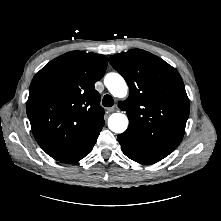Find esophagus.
Wrapping results in <instances>:
<instances>
[{
    "label": "esophagus",
    "instance_id": "obj_1",
    "mask_svg": "<svg viewBox=\"0 0 221 221\" xmlns=\"http://www.w3.org/2000/svg\"><path fill=\"white\" fill-rule=\"evenodd\" d=\"M116 111H118V107L116 105L111 108H108L109 113L116 112Z\"/></svg>",
    "mask_w": 221,
    "mask_h": 221
}]
</instances>
